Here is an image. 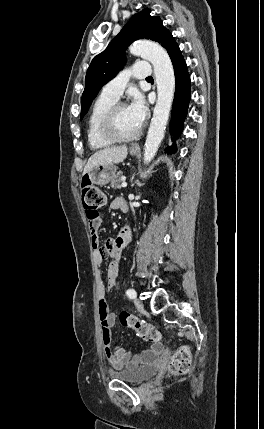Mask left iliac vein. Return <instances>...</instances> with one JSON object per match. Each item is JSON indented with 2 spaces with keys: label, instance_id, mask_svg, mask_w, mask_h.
<instances>
[{
  "label": "left iliac vein",
  "instance_id": "obj_1",
  "mask_svg": "<svg viewBox=\"0 0 264 429\" xmlns=\"http://www.w3.org/2000/svg\"><path fill=\"white\" fill-rule=\"evenodd\" d=\"M134 304L137 307V309H139V310L143 308V304L141 303V301L139 299H135Z\"/></svg>",
  "mask_w": 264,
  "mask_h": 429
}]
</instances>
